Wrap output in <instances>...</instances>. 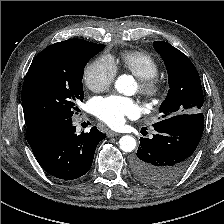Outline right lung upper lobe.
Masks as SVG:
<instances>
[{"instance_id":"cb5924a9","label":"right lung upper lobe","mask_w":224,"mask_h":224,"mask_svg":"<svg viewBox=\"0 0 224 224\" xmlns=\"http://www.w3.org/2000/svg\"><path fill=\"white\" fill-rule=\"evenodd\" d=\"M88 41L82 39H69L66 41L58 42L48 46L46 49H56V50H71L78 47L84 46Z\"/></svg>"}]
</instances>
